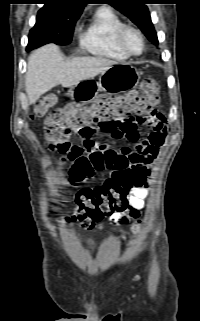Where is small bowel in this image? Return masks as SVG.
<instances>
[{
    "label": "small bowel",
    "instance_id": "obj_1",
    "mask_svg": "<svg viewBox=\"0 0 200 321\" xmlns=\"http://www.w3.org/2000/svg\"><path fill=\"white\" fill-rule=\"evenodd\" d=\"M143 125L147 126L150 132L141 139L139 128ZM102 131L109 133L113 139L127 141V144L117 149L113 145L96 142L93 139L95 133L84 134L81 135L80 146L73 147L69 159L79 152H101L128 160L138 175L140 184L131 191L126 207L109 216L111 224L125 225L130 220L138 219L145 206L149 194L148 178L151 175V165L166 141V119L162 113L154 110L145 116L126 118L117 126ZM64 220L70 221L69 218Z\"/></svg>",
    "mask_w": 200,
    "mask_h": 321
}]
</instances>
